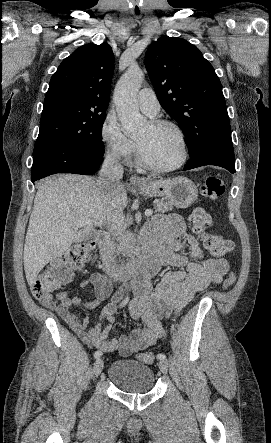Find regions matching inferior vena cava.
I'll list each match as a JSON object with an SVG mask.
<instances>
[{
  "mask_svg": "<svg viewBox=\"0 0 271 443\" xmlns=\"http://www.w3.org/2000/svg\"><path fill=\"white\" fill-rule=\"evenodd\" d=\"M123 178V166L119 164L117 154H108L106 156L102 168L100 170L99 178L97 180V188L107 194L110 190H114V188H118V184L120 180ZM109 231H112L113 235H120L123 229L121 225H118L117 222L111 223L109 225ZM103 261V269L105 273L108 275H112V277H116V253L114 249H109L108 253L102 257Z\"/></svg>",
  "mask_w": 271,
  "mask_h": 443,
  "instance_id": "1",
  "label": "inferior vena cava"
}]
</instances>
